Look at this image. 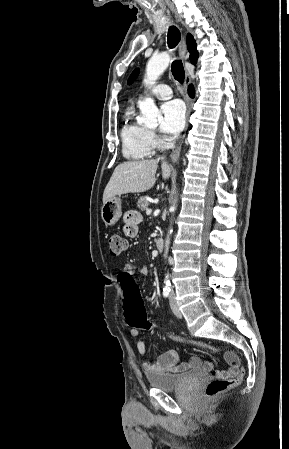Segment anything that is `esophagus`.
Wrapping results in <instances>:
<instances>
[{
  "instance_id": "1",
  "label": "esophagus",
  "mask_w": 289,
  "mask_h": 449,
  "mask_svg": "<svg viewBox=\"0 0 289 449\" xmlns=\"http://www.w3.org/2000/svg\"><path fill=\"white\" fill-rule=\"evenodd\" d=\"M186 54H187V49H186L185 42L183 40L179 45V55L182 59H184L186 57ZM189 84H190V80L188 77H186L185 83H184L185 90L187 89ZM185 102H186V107H187L186 120L188 121V118H189V115L191 112V99L189 98V96L187 94L185 95ZM187 126H188V123L186 124V128H187ZM181 145H182V143L179 146H177V148L172 152V154H171L172 161H176L179 158L180 152H181Z\"/></svg>"
}]
</instances>
